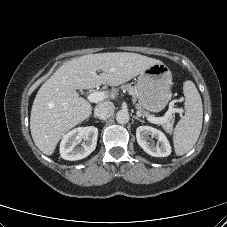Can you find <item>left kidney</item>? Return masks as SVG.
Masks as SVG:
<instances>
[{
	"label": "left kidney",
	"instance_id": "1",
	"mask_svg": "<svg viewBox=\"0 0 227 227\" xmlns=\"http://www.w3.org/2000/svg\"><path fill=\"white\" fill-rule=\"evenodd\" d=\"M136 138L140 147L151 156L166 157L171 153V146L167 137L156 128L140 126L136 129ZM153 138L158 141L156 145L152 140Z\"/></svg>",
	"mask_w": 227,
	"mask_h": 227
}]
</instances>
